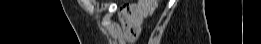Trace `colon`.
<instances>
[{
    "label": "colon",
    "instance_id": "1",
    "mask_svg": "<svg viewBox=\"0 0 261 44\" xmlns=\"http://www.w3.org/2000/svg\"><path fill=\"white\" fill-rule=\"evenodd\" d=\"M140 2L144 3L147 11L150 15H152L156 9L157 0H141ZM128 6H125L124 9H126Z\"/></svg>",
    "mask_w": 261,
    "mask_h": 44
}]
</instances>
